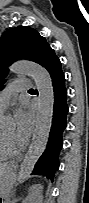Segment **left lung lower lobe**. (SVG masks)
Segmentation results:
<instances>
[{"label": "left lung lower lobe", "instance_id": "1", "mask_svg": "<svg viewBox=\"0 0 89 203\" xmlns=\"http://www.w3.org/2000/svg\"><path fill=\"white\" fill-rule=\"evenodd\" d=\"M40 65L48 70L52 79L54 109L46 150L37 161L32 174L43 175L53 180L54 174L59 168V153L63 144L62 134L66 129V117L69 111L67 91L61 62L50 46L45 48Z\"/></svg>", "mask_w": 89, "mask_h": 203}]
</instances>
